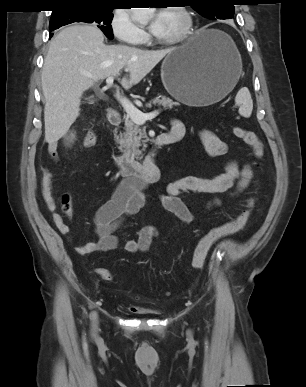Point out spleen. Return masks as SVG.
Instances as JSON below:
<instances>
[{
    "label": "spleen",
    "instance_id": "3e777b00",
    "mask_svg": "<svg viewBox=\"0 0 306 387\" xmlns=\"http://www.w3.org/2000/svg\"><path fill=\"white\" fill-rule=\"evenodd\" d=\"M235 103L239 106V114L245 118H249L253 110V101L247 87L241 88L236 97Z\"/></svg>",
    "mask_w": 306,
    "mask_h": 387
}]
</instances>
